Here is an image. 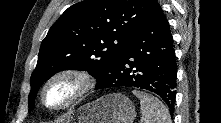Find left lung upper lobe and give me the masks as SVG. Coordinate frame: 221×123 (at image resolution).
<instances>
[{
    "mask_svg": "<svg viewBox=\"0 0 221 123\" xmlns=\"http://www.w3.org/2000/svg\"><path fill=\"white\" fill-rule=\"evenodd\" d=\"M158 5L156 0H85L65 10L41 43L29 110L39 87L59 71L87 70L97 79L106 73Z\"/></svg>",
    "mask_w": 221,
    "mask_h": 123,
    "instance_id": "obj_1",
    "label": "left lung upper lobe"
}]
</instances>
